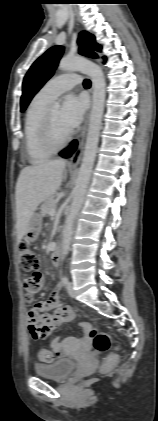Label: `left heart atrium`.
<instances>
[{"instance_id": "1", "label": "left heart atrium", "mask_w": 158, "mask_h": 421, "mask_svg": "<svg viewBox=\"0 0 158 421\" xmlns=\"http://www.w3.org/2000/svg\"><path fill=\"white\" fill-rule=\"evenodd\" d=\"M86 109L85 100L76 95H69L65 98L60 110V117L63 126L71 132L77 127L84 116Z\"/></svg>"}]
</instances>
